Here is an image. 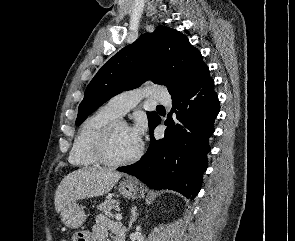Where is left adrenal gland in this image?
<instances>
[{
	"instance_id": "obj_1",
	"label": "left adrenal gland",
	"mask_w": 295,
	"mask_h": 241,
	"mask_svg": "<svg viewBox=\"0 0 295 241\" xmlns=\"http://www.w3.org/2000/svg\"><path fill=\"white\" fill-rule=\"evenodd\" d=\"M137 217H138L137 207L134 206L131 209V216H130V221H129V229L132 228V224H133V222L136 221Z\"/></svg>"
}]
</instances>
